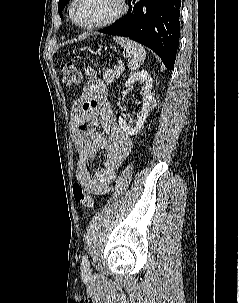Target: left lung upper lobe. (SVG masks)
Instances as JSON below:
<instances>
[{"instance_id":"5c2ea615","label":"left lung upper lobe","mask_w":239,"mask_h":303,"mask_svg":"<svg viewBox=\"0 0 239 303\" xmlns=\"http://www.w3.org/2000/svg\"><path fill=\"white\" fill-rule=\"evenodd\" d=\"M68 1L69 0H60L59 1L58 12L61 17H62V10Z\"/></svg>"}]
</instances>
